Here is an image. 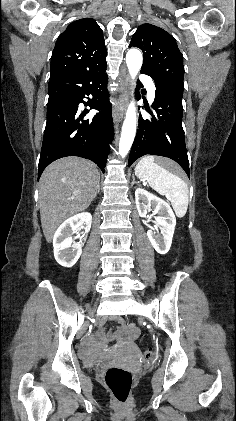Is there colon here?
<instances>
[{"label":"colon","mask_w":236,"mask_h":421,"mask_svg":"<svg viewBox=\"0 0 236 421\" xmlns=\"http://www.w3.org/2000/svg\"><path fill=\"white\" fill-rule=\"evenodd\" d=\"M147 359L155 357L156 351L148 349L144 353ZM105 383L117 401L124 403L127 401L132 385V373L121 367H110L105 373Z\"/></svg>","instance_id":"obj_1"}]
</instances>
